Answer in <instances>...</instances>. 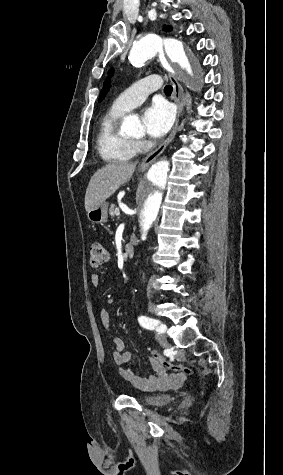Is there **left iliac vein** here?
I'll list each match as a JSON object with an SVG mask.
<instances>
[{
    "mask_svg": "<svg viewBox=\"0 0 283 475\" xmlns=\"http://www.w3.org/2000/svg\"><path fill=\"white\" fill-rule=\"evenodd\" d=\"M162 325H163V324H162ZM164 326H165V325H164ZM165 330H166V326H165ZM155 338H156V340H157L160 344H162V345H165V344L167 343V340H166L165 336H164L163 334H161V332H158V333L156 334V337H155Z\"/></svg>",
    "mask_w": 283,
    "mask_h": 475,
    "instance_id": "1",
    "label": "left iliac vein"
}]
</instances>
